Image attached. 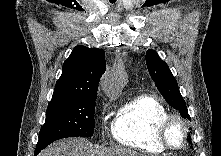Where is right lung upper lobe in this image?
<instances>
[{
	"instance_id": "obj_1",
	"label": "right lung upper lobe",
	"mask_w": 221,
	"mask_h": 156,
	"mask_svg": "<svg viewBox=\"0 0 221 156\" xmlns=\"http://www.w3.org/2000/svg\"><path fill=\"white\" fill-rule=\"evenodd\" d=\"M106 70L105 53L102 49L78 45L62 69L51 101L73 100L97 94L98 83Z\"/></svg>"
}]
</instances>
